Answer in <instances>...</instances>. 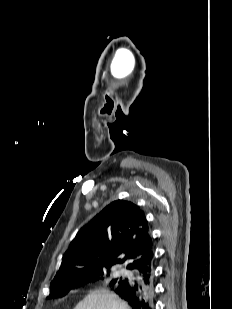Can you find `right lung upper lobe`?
Returning <instances> with one entry per match:
<instances>
[{
    "label": "right lung upper lobe",
    "instance_id": "1",
    "mask_svg": "<svg viewBox=\"0 0 232 309\" xmlns=\"http://www.w3.org/2000/svg\"><path fill=\"white\" fill-rule=\"evenodd\" d=\"M153 257L148 221L132 202L117 200L83 226L72 240L51 286L85 274L110 270L118 263L127 267ZM61 297L60 295L49 298Z\"/></svg>",
    "mask_w": 232,
    "mask_h": 309
}]
</instances>
